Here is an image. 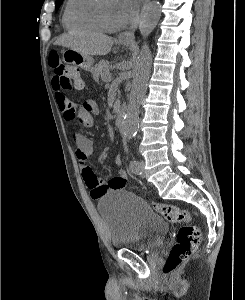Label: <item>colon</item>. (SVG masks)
<instances>
[{
    "instance_id": "colon-1",
    "label": "colon",
    "mask_w": 245,
    "mask_h": 300,
    "mask_svg": "<svg viewBox=\"0 0 245 300\" xmlns=\"http://www.w3.org/2000/svg\"><path fill=\"white\" fill-rule=\"evenodd\" d=\"M49 65L54 73V77L63 89L82 88L83 81L79 71L72 66L62 63L56 52L50 54ZM153 206L168 222L183 224L177 233L176 243L163 266V274L169 276L196 250L201 241L202 233L197 226L192 224L191 215L188 211L172 204L154 203Z\"/></svg>"
}]
</instances>
